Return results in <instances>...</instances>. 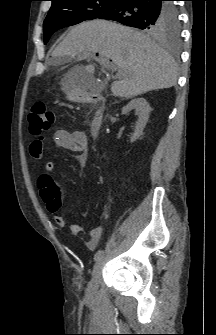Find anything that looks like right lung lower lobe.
<instances>
[{"label":"right lung lower lobe","instance_id":"obj_1","mask_svg":"<svg viewBox=\"0 0 216 335\" xmlns=\"http://www.w3.org/2000/svg\"><path fill=\"white\" fill-rule=\"evenodd\" d=\"M175 6L167 0H118L99 19H109L124 25L157 33L162 29L165 18L170 15L172 24L178 23Z\"/></svg>","mask_w":216,"mask_h":335}]
</instances>
